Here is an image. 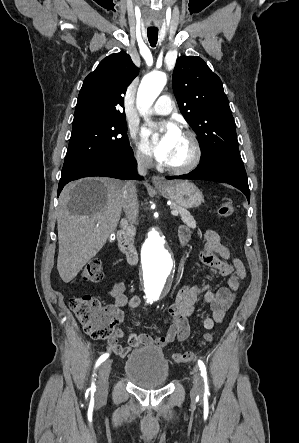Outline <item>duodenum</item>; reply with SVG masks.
I'll use <instances>...</instances> for the list:
<instances>
[{
	"instance_id": "obj_1",
	"label": "duodenum",
	"mask_w": 299,
	"mask_h": 443,
	"mask_svg": "<svg viewBox=\"0 0 299 443\" xmlns=\"http://www.w3.org/2000/svg\"><path fill=\"white\" fill-rule=\"evenodd\" d=\"M116 241L119 249L123 254L126 255L128 263L130 265H135L137 262V251L136 249L129 243L126 233L124 230H118L116 233Z\"/></svg>"
}]
</instances>
